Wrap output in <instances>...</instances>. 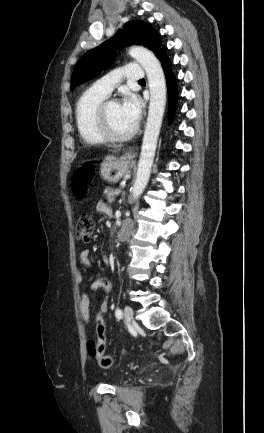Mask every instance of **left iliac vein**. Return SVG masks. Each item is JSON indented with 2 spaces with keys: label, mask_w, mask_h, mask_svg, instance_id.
Returning a JSON list of instances; mask_svg holds the SVG:
<instances>
[{
  "label": "left iliac vein",
  "mask_w": 264,
  "mask_h": 433,
  "mask_svg": "<svg viewBox=\"0 0 264 433\" xmlns=\"http://www.w3.org/2000/svg\"><path fill=\"white\" fill-rule=\"evenodd\" d=\"M125 321L128 325L132 324L133 321V310L130 306H126L124 309Z\"/></svg>",
  "instance_id": "4c4485c4"
}]
</instances>
